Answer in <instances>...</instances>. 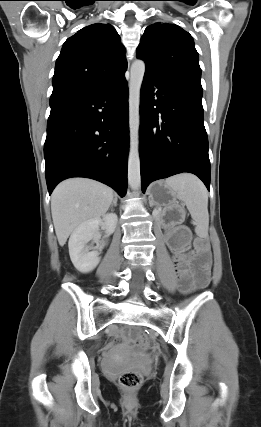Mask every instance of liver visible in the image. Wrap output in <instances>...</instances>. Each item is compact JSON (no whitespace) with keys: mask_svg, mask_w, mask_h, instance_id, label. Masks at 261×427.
Here are the masks:
<instances>
[{"mask_svg":"<svg viewBox=\"0 0 261 427\" xmlns=\"http://www.w3.org/2000/svg\"><path fill=\"white\" fill-rule=\"evenodd\" d=\"M113 197L110 187L95 180L72 178L61 182L51 196L52 219L60 246L77 226L103 216Z\"/></svg>","mask_w":261,"mask_h":427,"instance_id":"6515ba94","label":"liver"}]
</instances>
